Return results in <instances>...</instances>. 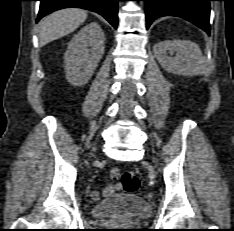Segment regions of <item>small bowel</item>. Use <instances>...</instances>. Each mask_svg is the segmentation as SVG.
I'll return each instance as SVG.
<instances>
[{
	"mask_svg": "<svg viewBox=\"0 0 234 231\" xmlns=\"http://www.w3.org/2000/svg\"><path fill=\"white\" fill-rule=\"evenodd\" d=\"M121 189V185L119 183H110L107 186H105L102 190H99L98 188H93L91 191V197L94 200H100L104 197H109L112 194H114L116 191H119Z\"/></svg>",
	"mask_w": 234,
	"mask_h": 231,
	"instance_id": "c3829d8e",
	"label": "small bowel"
}]
</instances>
